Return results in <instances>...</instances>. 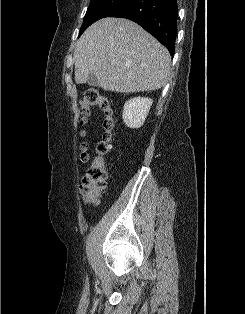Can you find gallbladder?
<instances>
[{
    "label": "gallbladder",
    "instance_id": "gallbladder-1",
    "mask_svg": "<svg viewBox=\"0 0 245 314\" xmlns=\"http://www.w3.org/2000/svg\"><path fill=\"white\" fill-rule=\"evenodd\" d=\"M88 83L90 85H96L98 83L97 78L93 74H89L88 76Z\"/></svg>",
    "mask_w": 245,
    "mask_h": 314
}]
</instances>
